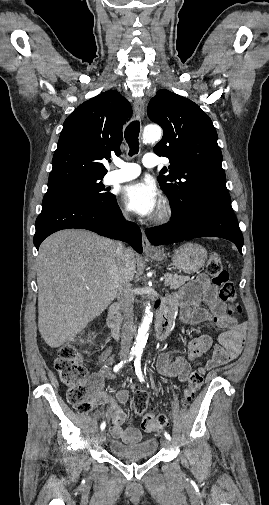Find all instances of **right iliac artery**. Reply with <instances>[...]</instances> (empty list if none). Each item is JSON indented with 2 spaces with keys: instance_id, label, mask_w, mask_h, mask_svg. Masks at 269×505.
Returning a JSON list of instances; mask_svg holds the SVG:
<instances>
[{
  "instance_id": "right-iliac-artery-1",
  "label": "right iliac artery",
  "mask_w": 269,
  "mask_h": 505,
  "mask_svg": "<svg viewBox=\"0 0 269 505\" xmlns=\"http://www.w3.org/2000/svg\"><path fill=\"white\" fill-rule=\"evenodd\" d=\"M135 355H136V352H134V351L130 352V355H129V357H128V359H127V360L122 361V362H120V363H118L117 365H115V366H114V368H113L114 372H118V371H119V369H121V368L123 367V365H124L127 361H131V360H133V358H134V356H135ZM105 426H106V423H105V422H102V423H101V425H100V429H101V430H104Z\"/></svg>"
}]
</instances>
